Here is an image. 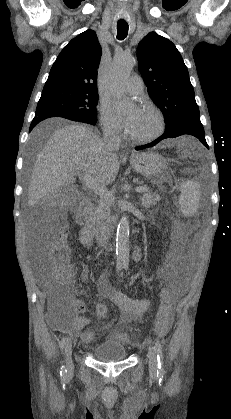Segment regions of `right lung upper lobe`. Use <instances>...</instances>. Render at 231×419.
<instances>
[{
    "label": "right lung upper lobe",
    "instance_id": "cb5924a9",
    "mask_svg": "<svg viewBox=\"0 0 231 419\" xmlns=\"http://www.w3.org/2000/svg\"><path fill=\"white\" fill-rule=\"evenodd\" d=\"M101 52L95 31L79 34L58 55L44 87L62 86L97 92Z\"/></svg>",
    "mask_w": 231,
    "mask_h": 419
}]
</instances>
